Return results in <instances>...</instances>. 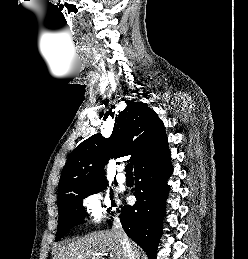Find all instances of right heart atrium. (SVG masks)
<instances>
[{
  "label": "right heart atrium",
  "mask_w": 248,
  "mask_h": 259,
  "mask_svg": "<svg viewBox=\"0 0 248 259\" xmlns=\"http://www.w3.org/2000/svg\"><path fill=\"white\" fill-rule=\"evenodd\" d=\"M84 207L94 221H100L111 208L109 194L96 191L87 195L83 200Z\"/></svg>",
  "instance_id": "1"
}]
</instances>
